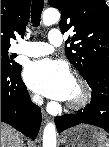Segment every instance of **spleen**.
Segmentation results:
<instances>
[{"label": "spleen", "mask_w": 109, "mask_h": 147, "mask_svg": "<svg viewBox=\"0 0 109 147\" xmlns=\"http://www.w3.org/2000/svg\"><path fill=\"white\" fill-rule=\"evenodd\" d=\"M101 138H102L103 140H105V144L103 145V147H109V139H108V135H107L106 132H103V133L101 134Z\"/></svg>", "instance_id": "1"}]
</instances>
